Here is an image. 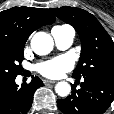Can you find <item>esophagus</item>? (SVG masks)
I'll return each instance as SVG.
<instances>
[{
	"instance_id": "34e87169",
	"label": "esophagus",
	"mask_w": 114,
	"mask_h": 114,
	"mask_svg": "<svg viewBox=\"0 0 114 114\" xmlns=\"http://www.w3.org/2000/svg\"><path fill=\"white\" fill-rule=\"evenodd\" d=\"M43 83H44L45 85H50V84H55L56 81L45 79V80H43Z\"/></svg>"
}]
</instances>
